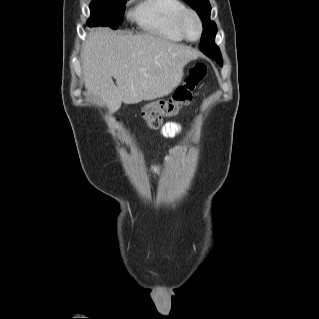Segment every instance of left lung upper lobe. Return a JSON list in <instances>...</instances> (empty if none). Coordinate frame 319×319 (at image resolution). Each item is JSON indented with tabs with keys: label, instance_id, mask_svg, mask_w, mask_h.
<instances>
[{
	"label": "left lung upper lobe",
	"instance_id": "1",
	"mask_svg": "<svg viewBox=\"0 0 319 319\" xmlns=\"http://www.w3.org/2000/svg\"><path fill=\"white\" fill-rule=\"evenodd\" d=\"M188 5H190L203 21V32L201 36L200 49L205 48V44L208 45V39L212 41L209 45L212 53L216 56L214 60L222 66V56L219 48L214 43V39L217 33V26L215 22L210 20L211 6L208 0H184ZM206 49V48H205Z\"/></svg>",
	"mask_w": 319,
	"mask_h": 319
}]
</instances>
